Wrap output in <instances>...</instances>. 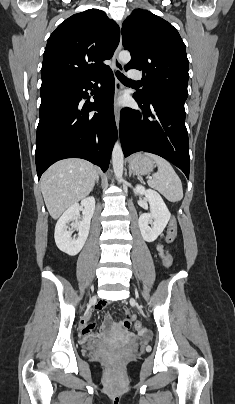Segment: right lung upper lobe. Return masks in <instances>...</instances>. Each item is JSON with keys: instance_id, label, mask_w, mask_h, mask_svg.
Segmentation results:
<instances>
[{"instance_id": "1", "label": "right lung upper lobe", "mask_w": 235, "mask_h": 404, "mask_svg": "<svg viewBox=\"0 0 235 404\" xmlns=\"http://www.w3.org/2000/svg\"><path fill=\"white\" fill-rule=\"evenodd\" d=\"M120 30L105 12L89 9L61 23L50 35L42 63V85L98 76L109 67Z\"/></svg>"}]
</instances>
